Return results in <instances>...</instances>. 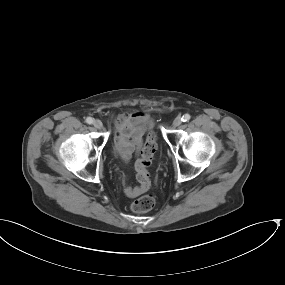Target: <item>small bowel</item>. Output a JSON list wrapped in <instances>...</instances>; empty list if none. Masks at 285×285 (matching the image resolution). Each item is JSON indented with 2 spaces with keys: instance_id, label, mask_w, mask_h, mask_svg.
I'll return each mask as SVG.
<instances>
[{
  "instance_id": "c3829d8e",
  "label": "small bowel",
  "mask_w": 285,
  "mask_h": 285,
  "mask_svg": "<svg viewBox=\"0 0 285 285\" xmlns=\"http://www.w3.org/2000/svg\"><path fill=\"white\" fill-rule=\"evenodd\" d=\"M145 118L146 117L143 114L130 113L127 111L121 113L117 118L114 136L115 149L119 156L125 161L129 160L133 155L139 154L141 136L144 132L140 121ZM134 124H137L139 127L134 129ZM144 192L145 191L141 190L139 187H126L124 189V193L132 198L137 197Z\"/></svg>"
}]
</instances>
